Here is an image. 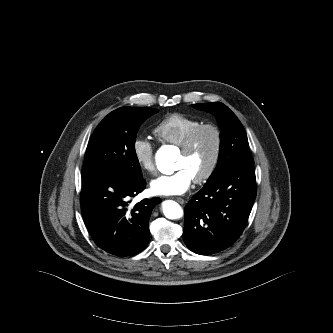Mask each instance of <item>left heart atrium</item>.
<instances>
[{"label": "left heart atrium", "mask_w": 333, "mask_h": 333, "mask_svg": "<svg viewBox=\"0 0 333 333\" xmlns=\"http://www.w3.org/2000/svg\"><path fill=\"white\" fill-rule=\"evenodd\" d=\"M193 182L189 172L180 168L172 174L162 175L151 181L153 194L160 196H175L184 194Z\"/></svg>", "instance_id": "39dd6f15"}]
</instances>
